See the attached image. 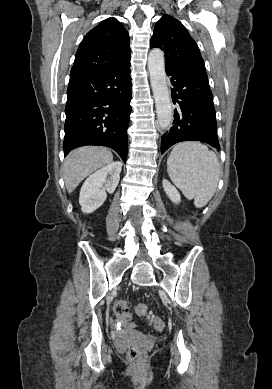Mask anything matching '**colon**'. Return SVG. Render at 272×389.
I'll return each instance as SVG.
<instances>
[{"instance_id": "obj_1", "label": "colon", "mask_w": 272, "mask_h": 389, "mask_svg": "<svg viewBox=\"0 0 272 389\" xmlns=\"http://www.w3.org/2000/svg\"><path fill=\"white\" fill-rule=\"evenodd\" d=\"M115 316L123 323L129 322L131 320V307L129 303L125 300H118L113 307ZM135 312L139 316H150L149 308L144 303H138L135 306ZM153 326L157 330H162L164 328V322L158 317L151 316ZM152 343L150 341L139 343L132 346L128 353L127 358L130 362L138 364L141 363L151 348Z\"/></svg>"}]
</instances>
